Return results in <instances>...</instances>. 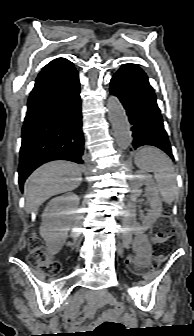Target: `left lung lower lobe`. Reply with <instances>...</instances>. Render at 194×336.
<instances>
[{
  "mask_svg": "<svg viewBox=\"0 0 194 336\" xmlns=\"http://www.w3.org/2000/svg\"><path fill=\"white\" fill-rule=\"evenodd\" d=\"M110 93L119 98L132 125L133 148L151 145L173 160L156 95L145 72L134 64L123 65L112 77Z\"/></svg>",
  "mask_w": 194,
  "mask_h": 336,
  "instance_id": "left-lung-lower-lobe-1",
  "label": "left lung lower lobe"
}]
</instances>
